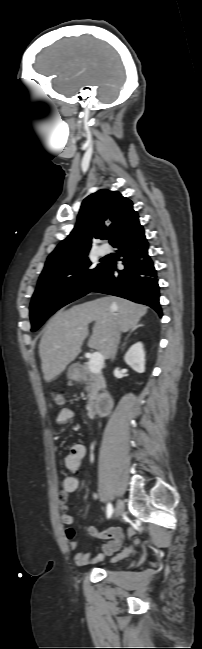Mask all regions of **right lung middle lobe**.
Returning a JSON list of instances; mask_svg holds the SVG:
<instances>
[{"label":"right lung middle lobe","mask_w":202,"mask_h":649,"mask_svg":"<svg viewBox=\"0 0 202 649\" xmlns=\"http://www.w3.org/2000/svg\"><path fill=\"white\" fill-rule=\"evenodd\" d=\"M90 265L86 254L71 270L39 278L30 304L31 331H36L56 310L89 292L103 262L94 269H89Z\"/></svg>","instance_id":"obj_1"}]
</instances>
